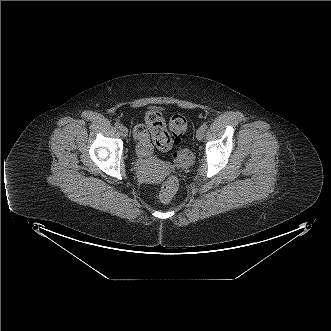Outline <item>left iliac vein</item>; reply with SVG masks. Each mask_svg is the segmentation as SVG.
I'll return each instance as SVG.
<instances>
[{
	"label": "left iliac vein",
	"mask_w": 331,
	"mask_h": 331,
	"mask_svg": "<svg viewBox=\"0 0 331 331\" xmlns=\"http://www.w3.org/2000/svg\"><path fill=\"white\" fill-rule=\"evenodd\" d=\"M204 132L205 131L201 127L196 131L197 140H202L204 138Z\"/></svg>",
	"instance_id": "left-iliac-vein-1"
}]
</instances>
